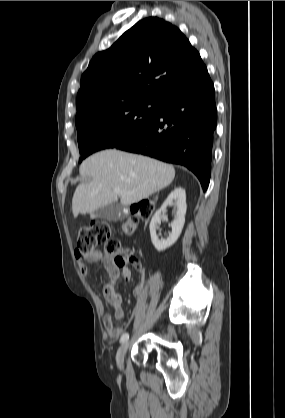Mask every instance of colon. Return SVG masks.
Listing matches in <instances>:
<instances>
[{
    "mask_svg": "<svg viewBox=\"0 0 285 418\" xmlns=\"http://www.w3.org/2000/svg\"><path fill=\"white\" fill-rule=\"evenodd\" d=\"M132 217L124 220L122 231L125 235L131 236L138 229V221L150 217L153 205L149 201H140L132 207ZM110 227L106 223H92L81 227L77 234L76 258L81 261H89L101 251L105 253H116L119 250V243L110 240ZM118 265L131 266L136 269L141 267L140 259L132 254L120 257L116 260Z\"/></svg>",
    "mask_w": 285,
    "mask_h": 418,
    "instance_id": "1",
    "label": "colon"
}]
</instances>
